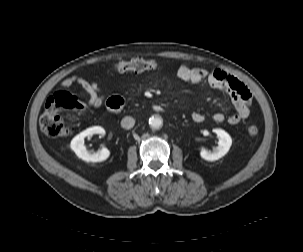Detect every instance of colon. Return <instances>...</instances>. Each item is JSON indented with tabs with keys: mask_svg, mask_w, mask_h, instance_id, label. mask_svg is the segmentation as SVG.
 <instances>
[{
	"mask_svg": "<svg viewBox=\"0 0 303 252\" xmlns=\"http://www.w3.org/2000/svg\"><path fill=\"white\" fill-rule=\"evenodd\" d=\"M160 67L155 60L137 59L131 61H118L114 64L113 70L118 73L128 71L141 72L155 70ZM90 107L80 101L75 95L67 90H60L50 95L45 103L44 112L40 118V125L43 132L51 137L58 138L68 135L72 129L64 122L61 112H84ZM259 128L255 124L248 127V134L255 137Z\"/></svg>",
	"mask_w": 303,
	"mask_h": 252,
	"instance_id": "obj_1",
	"label": "colon"
}]
</instances>
